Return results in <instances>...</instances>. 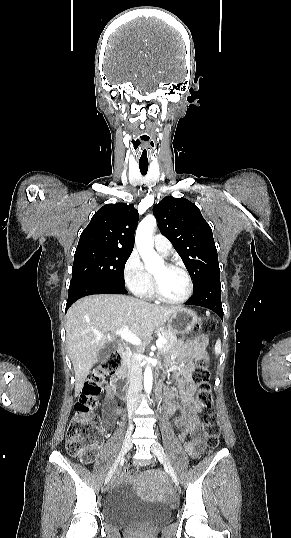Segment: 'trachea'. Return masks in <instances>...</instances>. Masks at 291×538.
Segmentation results:
<instances>
[{"label":"trachea","mask_w":291,"mask_h":538,"mask_svg":"<svg viewBox=\"0 0 291 538\" xmlns=\"http://www.w3.org/2000/svg\"><path fill=\"white\" fill-rule=\"evenodd\" d=\"M140 172L143 176H145L148 172V164H139Z\"/></svg>","instance_id":"obj_1"}]
</instances>
